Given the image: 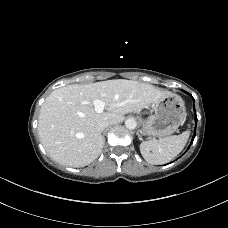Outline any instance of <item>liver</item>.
I'll list each match as a JSON object with an SVG mask.
<instances>
[{
  "mask_svg": "<svg viewBox=\"0 0 228 228\" xmlns=\"http://www.w3.org/2000/svg\"><path fill=\"white\" fill-rule=\"evenodd\" d=\"M168 91L151 84L115 79L54 90L40 109L38 133L48 155L70 167H83L101 154L105 139L96 124H117L124 115L147 108ZM106 103L97 113L94 100Z\"/></svg>",
  "mask_w": 228,
  "mask_h": 228,
  "instance_id": "1",
  "label": "liver"
}]
</instances>
